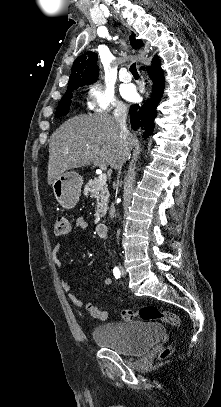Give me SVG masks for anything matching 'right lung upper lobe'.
<instances>
[{"label": "right lung upper lobe", "mask_w": 221, "mask_h": 407, "mask_svg": "<svg viewBox=\"0 0 221 407\" xmlns=\"http://www.w3.org/2000/svg\"><path fill=\"white\" fill-rule=\"evenodd\" d=\"M134 49L140 48L142 42L135 40L133 36L129 37ZM97 54L86 52L79 56L72 67V73L69 77L68 90L77 89L86 84H92L98 77V66L96 65Z\"/></svg>", "instance_id": "1"}]
</instances>
